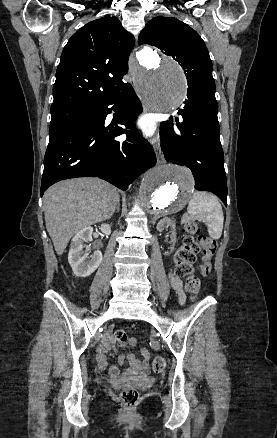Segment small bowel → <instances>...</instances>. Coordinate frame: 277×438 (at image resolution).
<instances>
[{
	"instance_id": "small-bowel-1",
	"label": "small bowel",
	"mask_w": 277,
	"mask_h": 438,
	"mask_svg": "<svg viewBox=\"0 0 277 438\" xmlns=\"http://www.w3.org/2000/svg\"><path fill=\"white\" fill-rule=\"evenodd\" d=\"M170 282L178 296L179 301L182 303L184 301V291H183L182 281L174 274H170ZM105 341L107 343L106 347L111 346V344L113 343L112 347L115 350H119L124 347V344L122 342L115 341L114 331L110 330V328H107ZM97 350H98L97 359L99 362V367H105L107 365V362L105 361V354H104L105 348L103 346H99ZM142 356H143V362H139L138 360H136V358L133 355L129 356V360L134 369L138 370L141 373H145L147 370V362L150 357L149 352L146 349H143ZM118 359L120 362H123L124 356L119 355ZM109 375L112 380L117 381L120 379L118 375V370L116 368H111L109 370Z\"/></svg>"
}]
</instances>
